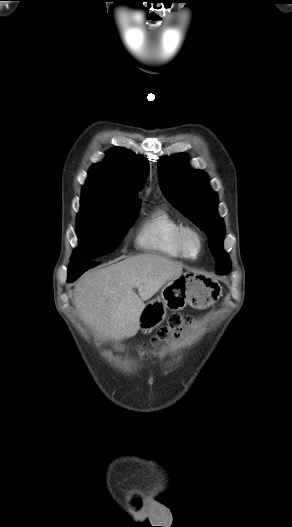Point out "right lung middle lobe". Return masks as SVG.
<instances>
[{
  "label": "right lung middle lobe",
  "mask_w": 292,
  "mask_h": 527,
  "mask_svg": "<svg viewBox=\"0 0 292 527\" xmlns=\"http://www.w3.org/2000/svg\"><path fill=\"white\" fill-rule=\"evenodd\" d=\"M139 203L108 202L82 194L76 221L79 247L71 261L90 260L113 252L132 225Z\"/></svg>",
  "instance_id": "obj_1"
}]
</instances>
